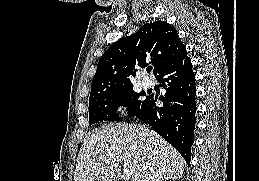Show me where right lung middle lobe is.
<instances>
[{
    "mask_svg": "<svg viewBox=\"0 0 259 181\" xmlns=\"http://www.w3.org/2000/svg\"><path fill=\"white\" fill-rule=\"evenodd\" d=\"M143 92L136 93L133 87L119 88L89 98V125L102 121L122 120L116 114L119 106L127 107L129 117L138 113L147 101L141 100Z\"/></svg>",
    "mask_w": 259,
    "mask_h": 181,
    "instance_id": "obj_1",
    "label": "right lung middle lobe"
}]
</instances>
